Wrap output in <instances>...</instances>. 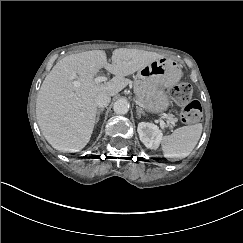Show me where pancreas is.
<instances>
[{
    "instance_id": "1",
    "label": "pancreas",
    "mask_w": 243,
    "mask_h": 243,
    "mask_svg": "<svg viewBox=\"0 0 243 243\" xmlns=\"http://www.w3.org/2000/svg\"><path fill=\"white\" fill-rule=\"evenodd\" d=\"M168 120H169L171 123H173V122L175 123V122L178 121V119L175 118L173 114H169V115H168Z\"/></svg>"
}]
</instances>
